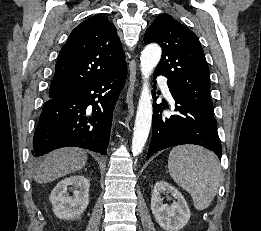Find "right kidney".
<instances>
[{
	"label": "right kidney",
	"instance_id": "obj_1",
	"mask_svg": "<svg viewBox=\"0 0 261 231\" xmlns=\"http://www.w3.org/2000/svg\"><path fill=\"white\" fill-rule=\"evenodd\" d=\"M69 186H72V196L68 193ZM89 186V180L82 175L61 180L50 194L54 214L67 220L79 217L89 204Z\"/></svg>",
	"mask_w": 261,
	"mask_h": 231
}]
</instances>
